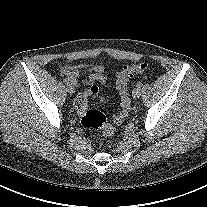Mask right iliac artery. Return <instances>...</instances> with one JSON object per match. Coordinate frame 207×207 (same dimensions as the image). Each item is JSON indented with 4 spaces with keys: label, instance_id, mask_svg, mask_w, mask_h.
<instances>
[{
    "label": "right iliac artery",
    "instance_id": "obj_1",
    "mask_svg": "<svg viewBox=\"0 0 207 207\" xmlns=\"http://www.w3.org/2000/svg\"><path fill=\"white\" fill-rule=\"evenodd\" d=\"M63 82H64L66 85H68V84H69V80H68V79H66V78L63 80Z\"/></svg>",
    "mask_w": 207,
    "mask_h": 207
}]
</instances>
